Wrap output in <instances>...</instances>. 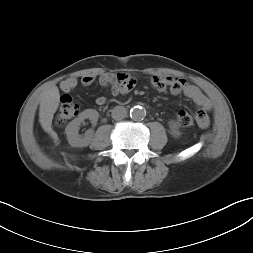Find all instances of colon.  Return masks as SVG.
I'll use <instances>...</instances> for the list:
<instances>
[{
    "label": "colon",
    "instance_id": "colon-1",
    "mask_svg": "<svg viewBox=\"0 0 253 253\" xmlns=\"http://www.w3.org/2000/svg\"><path fill=\"white\" fill-rule=\"evenodd\" d=\"M79 109V105L69 95H63L60 99V107L55 118L56 124L64 126L79 113ZM176 120L184 128H192L195 125L193 116L184 110H180L176 114Z\"/></svg>",
    "mask_w": 253,
    "mask_h": 253
}]
</instances>
